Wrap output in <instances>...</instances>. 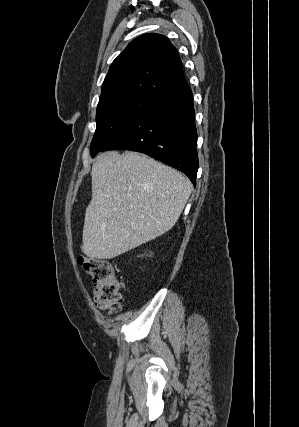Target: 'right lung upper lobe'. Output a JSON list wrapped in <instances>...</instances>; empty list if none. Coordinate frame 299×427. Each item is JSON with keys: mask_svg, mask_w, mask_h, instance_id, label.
I'll use <instances>...</instances> for the list:
<instances>
[{"mask_svg": "<svg viewBox=\"0 0 299 427\" xmlns=\"http://www.w3.org/2000/svg\"><path fill=\"white\" fill-rule=\"evenodd\" d=\"M186 85L175 47L167 37L148 33L134 39L113 61L99 101L119 95L156 100Z\"/></svg>", "mask_w": 299, "mask_h": 427, "instance_id": "cb5924a9", "label": "right lung upper lobe"}]
</instances>
